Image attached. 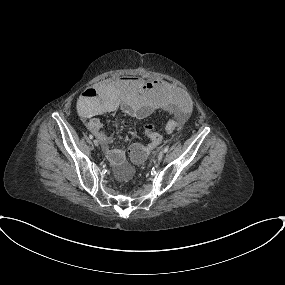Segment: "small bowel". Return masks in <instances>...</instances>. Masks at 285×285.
Here are the masks:
<instances>
[{"mask_svg": "<svg viewBox=\"0 0 285 285\" xmlns=\"http://www.w3.org/2000/svg\"><path fill=\"white\" fill-rule=\"evenodd\" d=\"M193 102L181 91L164 80L145 81L139 77L110 79L86 90L77 100V109L86 119L87 129L96 137L110 163L118 167L125 160L123 147L110 148L111 137L101 130L98 115L120 109L133 119H144L157 108L166 109L179 123L188 120ZM171 133V131H168ZM136 137L135 127H130L128 139Z\"/></svg>", "mask_w": 285, "mask_h": 285, "instance_id": "c3829d8e", "label": "small bowel"}]
</instances>
